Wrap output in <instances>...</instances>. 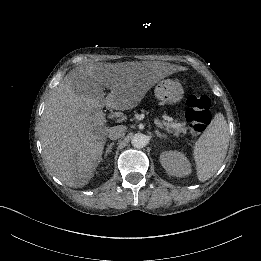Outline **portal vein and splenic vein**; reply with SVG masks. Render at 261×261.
<instances>
[{
    "label": "portal vein and splenic vein",
    "mask_w": 261,
    "mask_h": 261,
    "mask_svg": "<svg viewBox=\"0 0 261 261\" xmlns=\"http://www.w3.org/2000/svg\"><path fill=\"white\" fill-rule=\"evenodd\" d=\"M152 122H153L157 127H159L160 129L166 130V128H165L163 125H160V123H158L155 119H152ZM101 123H103V121H101ZM171 127H173V128H180V127H182V124H181V123L172 124Z\"/></svg>",
    "instance_id": "1"
}]
</instances>
